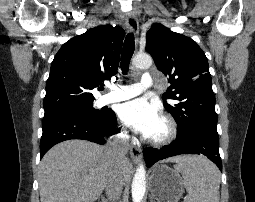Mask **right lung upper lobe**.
Returning <instances> with one entry per match:
<instances>
[{
  "mask_svg": "<svg viewBox=\"0 0 255 202\" xmlns=\"http://www.w3.org/2000/svg\"><path fill=\"white\" fill-rule=\"evenodd\" d=\"M124 36L122 28L105 25L67 41L51 65L43 103L45 114L93 103L90 90L117 71Z\"/></svg>",
  "mask_w": 255,
  "mask_h": 202,
  "instance_id": "right-lung-upper-lobe-1",
  "label": "right lung upper lobe"
}]
</instances>
